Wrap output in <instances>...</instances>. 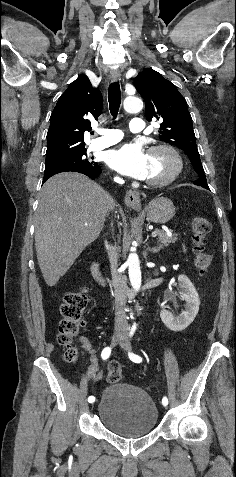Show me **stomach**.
Here are the masks:
<instances>
[{"instance_id":"0dacf381","label":"stomach","mask_w":236,"mask_h":477,"mask_svg":"<svg viewBox=\"0 0 236 477\" xmlns=\"http://www.w3.org/2000/svg\"><path fill=\"white\" fill-rule=\"evenodd\" d=\"M148 221L156 224H165L175 214L173 202L166 197H156L151 200L144 210Z\"/></svg>"}]
</instances>
